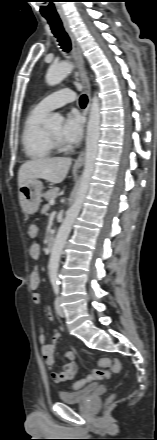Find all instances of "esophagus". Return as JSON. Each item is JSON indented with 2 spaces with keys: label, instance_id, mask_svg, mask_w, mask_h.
<instances>
[{
  "label": "esophagus",
  "instance_id": "34e87169",
  "mask_svg": "<svg viewBox=\"0 0 157 440\" xmlns=\"http://www.w3.org/2000/svg\"><path fill=\"white\" fill-rule=\"evenodd\" d=\"M62 22L65 27V30L67 31V33L71 39L72 54H73L75 62L77 63L78 73H79L80 79L82 81V84H83L84 89H85L87 96H88V100H89L88 106H87V111H88V109L90 107V103H91V88H90V83H89L88 77L85 72L84 57L82 55V51H81L80 45L76 39V36L73 33V31L68 23V20L65 18H62ZM84 159H85V151L83 150V151H81L78 158L76 159L74 166L75 167L82 166V164L84 163Z\"/></svg>",
  "mask_w": 157,
  "mask_h": 440
}]
</instances>
